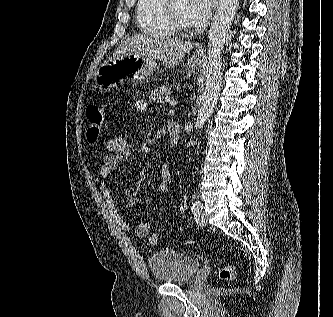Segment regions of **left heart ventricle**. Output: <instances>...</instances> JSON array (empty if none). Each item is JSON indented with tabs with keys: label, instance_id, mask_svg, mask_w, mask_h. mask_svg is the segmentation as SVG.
I'll return each instance as SVG.
<instances>
[{
	"label": "left heart ventricle",
	"instance_id": "obj_1",
	"mask_svg": "<svg viewBox=\"0 0 333 317\" xmlns=\"http://www.w3.org/2000/svg\"><path fill=\"white\" fill-rule=\"evenodd\" d=\"M173 12L180 23L187 26L191 25L186 13V0H174Z\"/></svg>",
	"mask_w": 333,
	"mask_h": 317
}]
</instances>
